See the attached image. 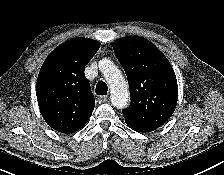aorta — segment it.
I'll list each match as a JSON object with an SVG mask.
<instances>
[{"instance_id":"762f6f07","label":"aorta","mask_w":224,"mask_h":175,"mask_svg":"<svg viewBox=\"0 0 224 175\" xmlns=\"http://www.w3.org/2000/svg\"><path fill=\"white\" fill-rule=\"evenodd\" d=\"M99 69L109 84L110 98L114 107L118 109L127 107L130 97L127 83L121 71L109 59L100 60Z\"/></svg>"}]
</instances>
